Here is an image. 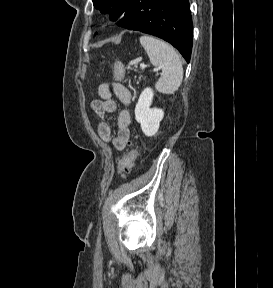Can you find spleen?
I'll return each instance as SVG.
<instances>
[{"mask_svg": "<svg viewBox=\"0 0 273 288\" xmlns=\"http://www.w3.org/2000/svg\"><path fill=\"white\" fill-rule=\"evenodd\" d=\"M140 43L151 63L162 68L161 77L155 84L156 90L163 94H174L183 79V67L177 52L168 43L148 35L141 36Z\"/></svg>", "mask_w": 273, "mask_h": 288, "instance_id": "obj_1", "label": "spleen"}]
</instances>
